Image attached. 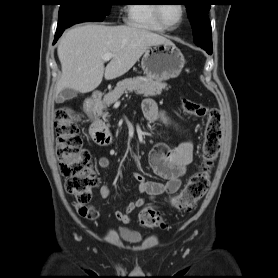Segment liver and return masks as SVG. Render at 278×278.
Returning <instances> with one entry per match:
<instances>
[{
    "label": "liver",
    "instance_id": "1",
    "mask_svg": "<svg viewBox=\"0 0 278 278\" xmlns=\"http://www.w3.org/2000/svg\"><path fill=\"white\" fill-rule=\"evenodd\" d=\"M165 42L170 41L137 26L86 24L68 30L57 49L62 75L56 85V98L65 88L81 93L93 91L103 76L111 80L124 75L149 46ZM105 53L114 55L106 68Z\"/></svg>",
    "mask_w": 278,
    "mask_h": 278
}]
</instances>
